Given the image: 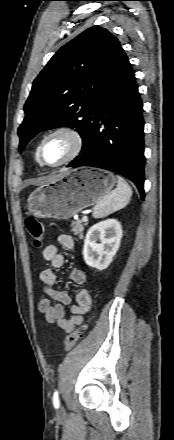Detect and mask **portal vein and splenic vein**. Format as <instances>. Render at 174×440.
I'll return each instance as SVG.
<instances>
[{
  "mask_svg": "<svg viewBox=\"0 0 174 440\" xmlns=\"http://www.w3.org/2000/svg\"><path fill=\"white\" fill-rule=\"evenodd\" d=\"M82 221L87 222L88 221V217L87 216H83L82 217Z\"/></svg>",
  "mask_w": 174,
  "mask_h": 440,
  "instance_id": "obj_1",
  "label": "portal vein and splenic vein"
}]
</instances>
